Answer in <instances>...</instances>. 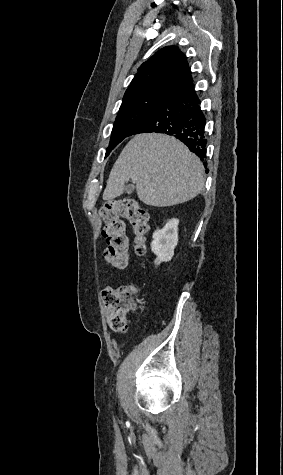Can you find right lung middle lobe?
<instances>
[{
  "label": "right lung middle lobe",
  "mask_w": 283,
  "mask_h": 475,
  "mask_svg": "<svg viewBox=\"0 0 283 475\" xmlns=\"http://www.w3.org/2000/svg\"><path fill=\"white\" fill-rule=\"evenodd\" d=\"M174 91L175 89L170 88L159 89L123 100L105 156H108L146 115L156 109Z\"/></svg>",
  "instance_id": "obj_1"
}]
</instances>
